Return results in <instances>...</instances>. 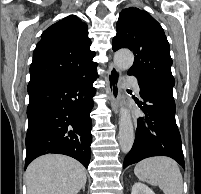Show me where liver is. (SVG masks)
<instances>
[{"mask_svg": "<svg viewBox=\"0 0 201 194\" xmlns=\"http://www.w3.org/2000/svg\"><path fill=\"white\" fill-rule=\"evenodd\" d=\"M25 181L27 194H77L86 184V172L75 159L48 154L27 167Z\"/></svg>", "mask_w": 201, "mask_h": 194, "instance_id": "1", "label": "liver"}]
</instances>
